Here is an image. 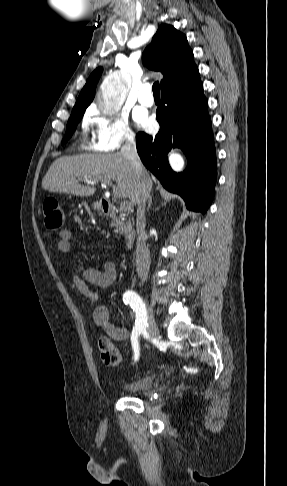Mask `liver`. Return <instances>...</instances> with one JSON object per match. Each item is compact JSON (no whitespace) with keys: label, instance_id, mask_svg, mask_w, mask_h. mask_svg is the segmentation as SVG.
I'll return each instance as SVG.
<instances>
[{"label":"liver","instance_id":"liver-1","mask_svg":"<svg viewBox=\"0 0 287 486\" xmlns=\"http://www.w3.org/2000/svg\"><path fill=\"white\" fill-rule=\"evenodd\" d=\"M106 180L116 182L113 193L137 204V176L130 160L121 152L114 154H82L56 159L42 180V188L50 192L91 196L96 189L79 181Z\"/></svg>","mask_w":287,"mask_h":486}]
</instances>
